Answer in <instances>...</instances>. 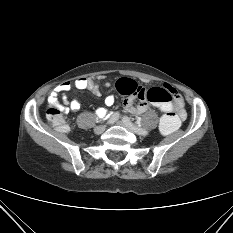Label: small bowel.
I'll list each match as a JSON object with an SVG mask.
<instances>
[{"label":"small bowel","instance_id":"1","mask_svg":"<svg viewBox=\"0 0 233 233\" xmlns=\"http://www.w3.org/2000/svg\"><path fill=\"white\" fill-rule=\"evenodd\" d=\"M76 89H88L92 94L98 96L100 95L99 86L95 78H79L75 80L73 83L67 81L57 85L53 91L49 94L48 101L50 104H55L58 106L57 97L58 95H62L64 102L68 105V108H65L66 111L70 110L75 112L79 110L81 107V102L78 99L72 100L68 102L66 93L71 90L72 87ZM109 86V83L106 84ZM164 88L169 90L173 95L172 108L181 119L186 118V112L184 109V101L182 96L177 92V90L169 84H165ZM115 102V98L112 95H109L105 98L106 106H112ZM124 108L131 114H141L144 113L148 109V103L145 101H140L138 104L134 103V97L126 98L123 102ZM95 114L100 118L109 117L110 112L102 107L95 109Z\"/></svg>","mask_w":233,"mask_h":233}]
</instances>
